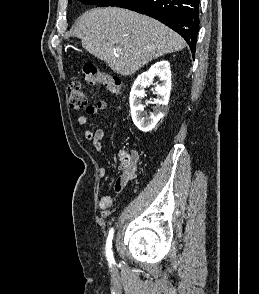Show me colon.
Instances as JSON below:
<instances>
[{
  "instance_id": "5ec220e1",
  "label": "colon",
  "mask_w": 259,
  "mask_h": 294,
  "mask_svg": "<svg viewBox=\"0 0 259 294\" xmlns=\"http://www.w3.org/2000/svg\"><path fill=\"white\" fill-rule=\"evenodd\" d=\"M82 77L87 83L91 85L99 84L112 94H118L120 92L121 82L119 78L100 70L93 65H88L83 68ZM68 94L71 108L77 111L87 110V99L79 81L73 80L69 83ZM121 157L125 164L129 162L127 154L122 153ZM130 176L133 178L134 174L131 173Z\"/></svg>"
}]
</instances>
